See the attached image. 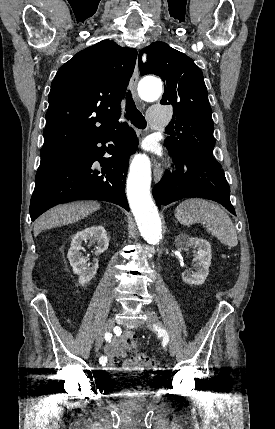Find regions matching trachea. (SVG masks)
<instances>
[{"instance_id":"1","label":"trachea","mask_w":275,"mask_h":429,"mask_svg":"<svg viewBox=\"0 0 275 429\" xmlns=\"http://www.w3.org/2000/svg\"><path fill=\"white\" fill-rule=\"evenodd\" d=\"M125 118L130 120L131 123L139 128L144 129L146 127V120L141 112L136 108L135 102L133 101L130 91L126 96V114Z\"/></svg>"}]
</instances>
